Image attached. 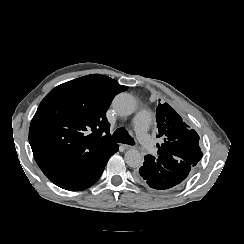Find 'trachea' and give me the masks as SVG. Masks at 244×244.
<instances>
[{
  "instance_id": "3493384b",
  "label": "trachea",
  "mask_w": 244,
  "mask_h": 244,
  "mask_svg": "<svg viewBox=\"0 0 244 244\" xmlns=\"http://www.w3.org/2000/svg\"><path fill=\"white\" fill-rule=\"evenodd\" d=\"M112 140L115 142L129 144V145L136 144L133 138L130 137L123 128H119L113 133Z\"/></svg>"
}]
</instances>
